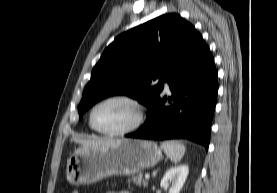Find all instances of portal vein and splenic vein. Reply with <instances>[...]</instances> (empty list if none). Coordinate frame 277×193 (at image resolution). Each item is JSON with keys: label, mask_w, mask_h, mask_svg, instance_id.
Returning <instances> with one entry per match:
<instances>
[{"label": "portal vein and splenic vein", "mask_w": 277, "mask_h": 193, "mask_svg": "<svg viewBox=\"0 0 277 193\" xmlns=\"http://www.w3.org/2000/svg\"><path fill=\"white\" fill-rule=\"evenodd\" d=\"M145 178H146V179H149V178H150V175H149V174H145Z\"/></svg>", "instance_id": "1"}]
</instances>
